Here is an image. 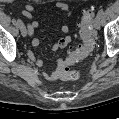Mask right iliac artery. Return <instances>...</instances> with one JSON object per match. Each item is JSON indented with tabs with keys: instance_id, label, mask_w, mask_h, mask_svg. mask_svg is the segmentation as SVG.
Returning a JSON list of instances; mask_svg holds the SVG:
<instances>
[{
	"instance_id": "82829eb1",
	"label": "right iliac artery",
	"mask_w": 119,
	"mask_h": 119,
	"mask_svg": "<svg viewBox=\"0 0 119 119\" xmlns=\"http://www.w3.org/2000/svg\"><path fill=\"white\" fill-rule=\"evenodd\" d=\"M23 24L22 20L20 18L17 19V25L20 27Z\"/></svg>"
}]
</instances>
